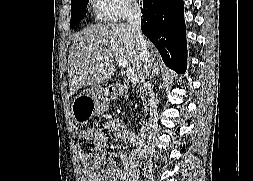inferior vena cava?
Returning a JSON list of instances; mask_svg holds the SVG:
<instances>
[{
    "mask_svg": "<svg viewBox=\"0 0 253 181\" xmlns=\"http://www.w3.org/2000/svg\"><path fill=\"white\" fill-rule=\"evenodd\" d=\"M141 16L142 14H141V10L138 3L136 2L129 3L126 9V19H127L128 25L132 28L135 34L136 42L138 44L140 51L142 52L143 62L145 64L144 67L146 70V79H147V82L145 80L143 81V86L150 96V112L153 118L155 119L156 114H157V105H156V100L153 97L151 81L149 80L150 69H151V57L148 51L147 41L143 37L142 32H141ZM150 78L152 77L150 76ZM152 135L153 133L150 134L149 139H152Z\"/></svg>",
    "mask_w": 253,
    "mask_h": 181,
    "instance_id": "obj_1",
    "label": "inferior vena cava"
}]
</instances>
